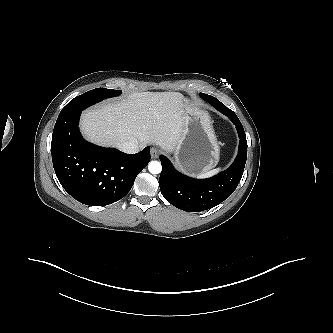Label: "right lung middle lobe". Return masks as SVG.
<instances>
[{
	"mask_svg": "<svg viewBox=\"0 0 333 333\" xmlns=\"http://www.w3.org/2000/svg\"><path fill=\"white\" fill-rule=\"evenodd\" d=\"M120 90L96 88L72 99L61 112L70 111L73 113L81 112L85 108L96 104L105 98L118 96Z\"/></svg>",
	"mask_w": 333,
	"mask_h": 333,
	"instance_id": "obj_1",
	"label": "right lung middle lobe"
}]
</instances>
